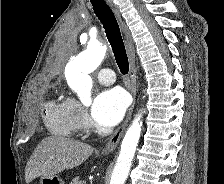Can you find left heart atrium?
I'll list each match as a JSON object with an SVG mask.
<instances>
[{
  "instance_id": "39dd6f15",
  "label": "left heart atrium",
  "mask_w": 224,
  "mask_h": 184,
  "mask_svg": "<svg viewBox=\"0 0 224 184\" xmlns=\"http://www.w3.org/2000/svg\"><path fill=\"white\" fill-rule=\"evenodd\" d=\"M128 106L127 95L118 88L101 92L94 100L91 115L96 123L113 127L123 118Z\"/></svg>"
}]
</instances>
